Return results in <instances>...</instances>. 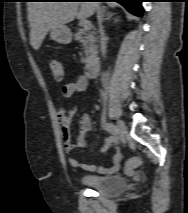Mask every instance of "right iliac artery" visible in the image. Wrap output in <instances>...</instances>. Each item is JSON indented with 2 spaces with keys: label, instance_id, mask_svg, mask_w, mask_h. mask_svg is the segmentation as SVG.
Instances as JSON below:
<instances>
[{
  "label": "right iliac artery",
  "instance_id": "obj_1",
  "mask_svg": "<svg viewBox=\"0 0 188 213\" xmlns=\"http://www.w3.org/2000/svg\"><path fill=\"white\" fill-rule=\"evenodd\" d=\"M105 129L111 133L112 135L116 136L118 134V128L112 123H106L105 124Z\"/></svg>",
  "mask_w": 188,
  "mask_h": 213
}]
</instances>
